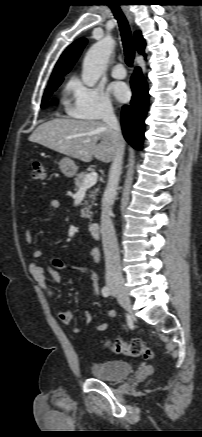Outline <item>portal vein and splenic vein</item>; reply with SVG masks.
<instances>
[{
	"label": "portal vein and splenic vein",
	"instance_id": "1",
	"mask_svg": "<svg viewBox=\"0 0 202 437\" xmlns=\"http://www.w3.org/2000/svg\"><path fill=\"white\" fill-rule=\"evenodd\" d=\"M97 179H98V174L96 172H91L85 177L80 190H86L90 188L91 186L96 184Z\"/></svg>",
	"mask_w": 202,
	"mask_h": 437
}]
</instances>
